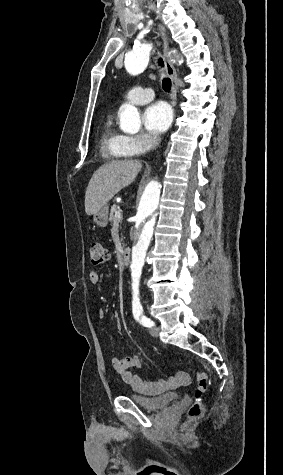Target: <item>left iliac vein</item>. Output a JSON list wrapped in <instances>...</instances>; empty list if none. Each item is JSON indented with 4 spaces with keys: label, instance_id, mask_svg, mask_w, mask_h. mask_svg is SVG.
<instances>
[{
    "label": "left iliac vein",
    "instance_id": "4c4485c4",
    "mask_svg": "<svg viewBox=\"0 0 283 475\" xmlns=\"http://www.w3.org/2000/svg\"><path fill=\"white\" fill-rule=\"evenodd\" d=\"M149 333H150V335L153 336V337H158L159 328H157V327H151V328L149 329Z\"/></svg>",
    "mask_w": 283,
    "mask_h": 475
}]
</instances>
